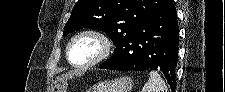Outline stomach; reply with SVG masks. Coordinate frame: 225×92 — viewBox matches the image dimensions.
Returning <instances> with one entry per match:
<instances>
[{"label": "stomach", "mask_w": 225, "mask_h": 92, "mask_svg": "<svg viewBox=\"0 0 225 92\" xmlns=\"http://www.w3.org/2000/svg\"><path fill=\"white\" fill-rule=\"evenodd\" d=\"M133 86V81L129 77H120L112 81L99 83L89 89L88 92H129Z\"/></svg>", "instance_id": "stomach-1"}]
</instances>
